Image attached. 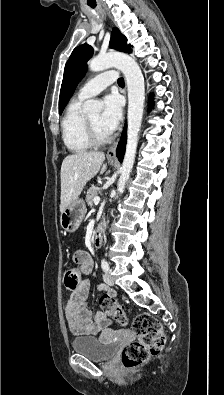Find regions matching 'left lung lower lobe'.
Returning <instances> with one entry per match:
<instances>
[{"instance_id":"1","label":"left lung lower lobe","mask_w":224,"mask_h":395,"mask_svg":"<svg viewBox=\"0 0 224 395\" xmlns=\"http://www.w3.org/2000/svg\"><path fill=\"white\" fill-rule=\"evenodd\" d=\"M126 138L127 137H126V127H125L124 131H123V134H122V137H121V140H120L119 145L117 147V153H116V155H117V157H118L120 162H122L123 156H124V153H125Z\"/></svg>"}]
</instances>
